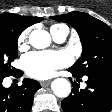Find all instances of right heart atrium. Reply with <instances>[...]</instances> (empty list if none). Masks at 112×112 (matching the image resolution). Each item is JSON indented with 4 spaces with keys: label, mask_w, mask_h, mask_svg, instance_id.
<instances>
[{
    "label": "right heart atrium",
    "mask_w": 112,
    "mask_h": 112,
    "mask_svg": "<svg viewBox=\"0 0 112 112\" xmlns=\"http://www.w3.org/2000/svg\"><path fill=\"white\" fill-rule=\"evenodd\" d=\"M29 32H30L29 29H26L19 35L18 47L20 50H24L27 47Z\"/></svg>",
    "instance_id": "1"
}]
</instances>
